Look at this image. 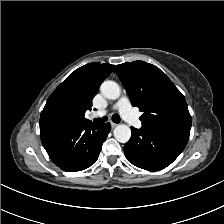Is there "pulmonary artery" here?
Listing matches in <instances>:
<instances>
[{"mask_svg": "<svg viewBox=\"0 0 224 224\" xmlns=\"http://www.w3.org/2000/svg\"><path fill=\"white\" fill-rule=\"evenodd\" d=\"M114 108L119 110L123 118L127 122H129L130 125L138 129L142 127L141 121L138 119V117L134 113L127 97H121L114 105ZM103 114H105V111L97 112L98 116H101Z\"/></svg>", "mask_w": 224, "mask_h": 224, "instance_id": "obj_1", "label": "pulmonary artery"}]
</instances>
